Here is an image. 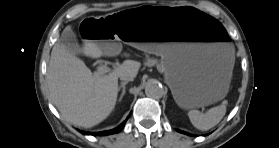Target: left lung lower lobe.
<instances>
[{
  "instance_id": "0a47b994",
  "label": "left lung lower lobe",
  "mask_w": 279,
  "mask_h": 148,
  "mask_svg": "<svg viewBox=\"0 0 279 148\" xmlns=\"http://www.w3.org/2000/svg\"><path fill=\"white\" fill-rule=\"evenodd\" d=\"M182 133L189 135V134H188V133H186V132H182Z\"/></svg>"
}]
</instances>
